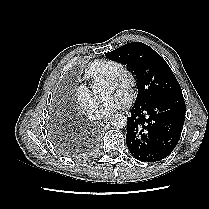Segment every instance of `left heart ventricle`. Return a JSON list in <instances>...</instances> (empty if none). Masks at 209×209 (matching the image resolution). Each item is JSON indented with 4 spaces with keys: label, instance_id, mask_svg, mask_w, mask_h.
<instances>
[{
    "label": "left heart ventricle",
    "instance_id": "left-heart-ventricle-1",
    "mask_svg": "<svg viewBox=\"0 0 209 209\" xmlns=\"http://www.w3.org/2000/svg\"><path fill=\"white\" fill-rule=\"evenodd\" d=\"M116 89V87L110 83V92H113Z\"/></svg>",
    "mask_w": 209,
    "mask_h": 209
}]
</instances>
